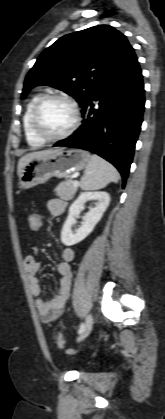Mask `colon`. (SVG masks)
Returning a JSON list of instances; mask_svg holds the SVG:
<instances>
[{
	"mask_svg": "<svg viewBox=\"0 0 165 419\" xmlns=\"http://www.w3.org/2000/svg\"><path fill=\"white\" fill-rule=\"evenodd\" d=\"M28 221H29V226L32 230L39 229L40 224H41V217L38 213L36 212L30 213L28 216ZM55 341L60 349L66 348L67 343L64 336L61 333L57 332L55 334Z\"/></svg>",
	"mask_w": 165,
	"mask_h": 419,
	"instance_id": "1",
	"label": "colon"
}]
</instances>
